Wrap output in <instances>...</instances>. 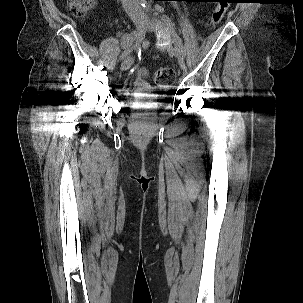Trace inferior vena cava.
<instances>
[{
  "instance_id": "1",
  "label": "inferior vena cava",
  "mask_w": 303,
  "mask_h": 303,
  "mask_svg": "<svg viewBox=\"0 0 303 303\" xmlns=\"http://www.w3.org/2000/svg\"><path fill=\"white\" fill-rule=\"evenodd\" d=\"M138 1L139 0H121L124 10L133 21L144 19V14L138 5Z\"/></svg>"
}]
</instances>
